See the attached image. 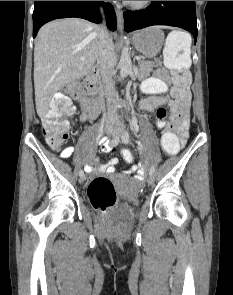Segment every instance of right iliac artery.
<instances>
[{"instance_id":"82829eb1","label":"right iliac artery","mask_w":233,"mask_h":295,"mask_svg":"<svg viewBox=\"0 0 233 295\" xmlns=\"http://www.w3.org/2000/svg\"><path fill=\"white\" fill-rule=\"evenodd\" d=\"M110 141V140H108ZM119 143V138H113L111 141H110V149L113 148L114 146H116L117 144ZM79 175L80 176H83L84 175V172L82 170L79 171Z\"/></svg>"}]
</instances>
